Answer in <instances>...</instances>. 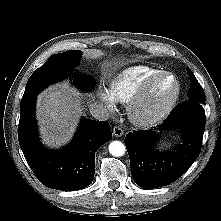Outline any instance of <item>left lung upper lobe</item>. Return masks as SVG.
I'll return each mask as SVG.
<instances>
[{
  "instance_id": "obj_1",
  "label": "left lung upper lobe",
  "mask_w": 221,
  "mask_h": 221,
  "mask_svg": "<svg viewBox=\"0 0 221 221\" xmlns=\"http://www.w3.org/2000/svg\"><path fill=\"white\" fill-rule=\"evenodd\" d=\"M189 74L192 81V87L189 92L190 99L187 101L195 102L203 105L205 103V93L201 85L198 83V80L194 76L191 70H189Z\"/></svg>"
}]
</instances>
